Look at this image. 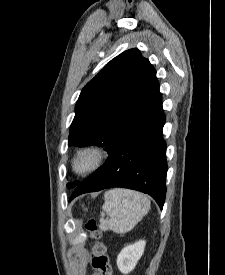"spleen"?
<instances>
[{
  "instance_id": "1",
  "label": "spleen",
  "mask_w": 225,
  "mask_h": 275,
  "mask_svg": "<svg viewBox=\"0 0 225 275\" xmlns=\"http://www.w3.org/2000/svg\"><path fill=\"white\" fill-rule=\"evenodd\" d=\"M100 226L102 231L117 234L131 231L150 210L147 196L128 189L116 188L105 192ZM107 215L109 218L104 219Z\"/></svg>"
}]
</instances>
